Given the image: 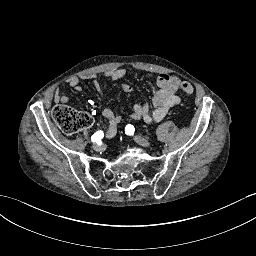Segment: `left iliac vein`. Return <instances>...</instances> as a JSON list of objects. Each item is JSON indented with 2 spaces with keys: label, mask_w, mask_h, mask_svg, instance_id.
Here are the masks:
<instances>
[{
  "label": "left iliac vein",
  "mask_w": 256,
  "mask_h": 256,
  "mask_svg": "<svg viewBox=\"0 0 256 256\" xmlns=\"http://www.w3.org/2000/svg\"><path fill=\"white\" fill-rule=\"evenodd\" d=\"M134 140L136 143H138L139 145L143 146V147H149L151 145V143L149 142V140L140 137V136H135Z\"/></svg>",
  "instance_id": "1"
}]
</instances>
